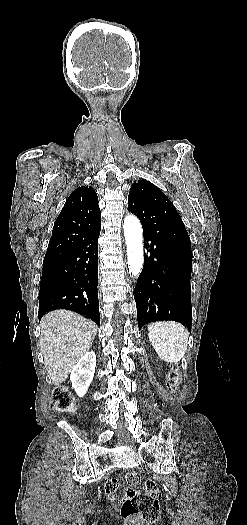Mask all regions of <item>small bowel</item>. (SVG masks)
Returning a JSON list of instances; mask_svg holds the SVG:
<instances>
[{
	"mask_svg": "<svg viewBox=\"0 0 247 525\" xmlns=\"http://www.w3.org/2000/svg\"><path fill=\"white\" fill-rule=\"evenodd\" d=\"M117 486H118V483H117V481L114 480V479H111V480H109V481L107 482V485H106V487H105V490H106V494H107V496H108V497H107V500H108L109 502H112V501L114 500V497H113V496H114V494H115V491H116ZM111 510H112L113 512H116V511L118 510V507H117L116 505H113V506L111 507Z\"/></svg>",
	"mask_w": 247,
	"mask_h": 525,
	"instance_id": "c3829d8e",
	"label": "small bowel"
}]
</instances>
